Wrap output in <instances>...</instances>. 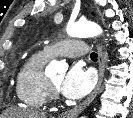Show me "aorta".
Returning a JSON list of instances; mask_svg holds the SVG:
<instances>
[{"instance_id":"762f6f07","label":"aorta","mask_w":133,"mask_h":118,"mask_svg":"<svg viewBox=\"0 0 133 118\" xmlns=\"http://www.w3.org/2000/svg\"><path fill=\"white\" fill-rule=\"evenodd\" d=\"M67 33L71 37L88 38L102 34V29L93 22H77L67 26ZM67 68V64L54 60L48 65L46 71L49 74H56L65 72Z\"/></svg>"}]
</instances>
